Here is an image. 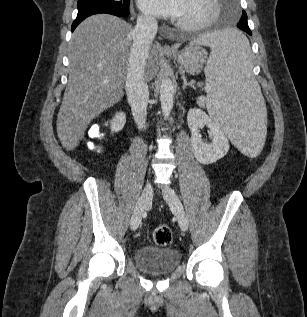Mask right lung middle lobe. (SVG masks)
Here are the masks:
<instances>
[{
  "label": "right lung middle lobe",
  "instance_id": "right-lung-middle-lobe-1",
  "mask_svg": "<svg viewBox=\"0 0 307 317\" xmlns=\"http://www.w3.org/2000/svg\"><path fill=\"white\" fill-rule=\"evenodd\" d=\"M89 6H104L119 10L128 7L129 0H78V10Z\"/></svg>",
  "mask_w": 307,
  "mask_h": 317
}]
</instances>
